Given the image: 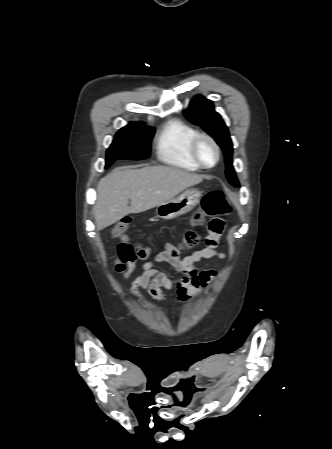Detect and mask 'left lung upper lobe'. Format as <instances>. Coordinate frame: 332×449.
Instances as JSON below:
<instances>
[{
  "mask_svg": "<svg viewBox=\"0 0 332 449\" xmlns=\"http://www.w3.org/2000/svg\"><path fill=\"white\" fill-rule=\"evenodd\" d=\"M184 115L192 123L201 126L211 135L223 149L226 163V177L230 184L239 187V181L232 166V141L229 131L221 116L215 112L212 102L202 96H196L190 103Z\"/></svg>",
  "mask_w": 332,
  "mask_h": 449,
  "instance_id": "obj_1",
  "label": "left lung upper lobe"
}]
</instances>
